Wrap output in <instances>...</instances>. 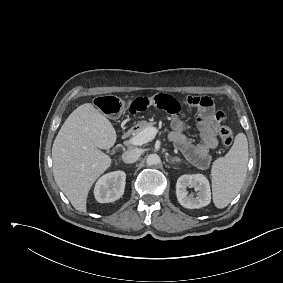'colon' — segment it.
Listing matches in <instances>:
<instances>
[{
    "label": "colon",
    "instance_id": "obj_1",
    "mask_svg": "<svg viewBox=\"0 0 283 283\" xmlns=\"http://www.w3.org/2000/svg\"><path fill=\"white\" fill-rule=\"evenodd\" d=\"M95 105L104 114L110 117H118L130 108L131 101H125L113 96H102L95 100ZM218 133L224 145L229 146L233 143L234 134L228 126H219Z\"/></svg>",
    "mask_w": 283,
    "mask_h": 283
}]
</instances>
